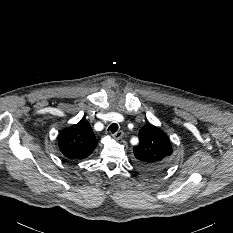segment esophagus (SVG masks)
Wrapping results in <instances>:
<instances>
[{
    "mask_svg": "<svg viewBox=\"0 0 233 233\" xmlns=\"http://www.w3.org/2000/svg\"><path fill=\"white\" fill-rule=\"evenodd\" d=\"M113 137L117 140H120L123 137V131L119 130L113 134Z\"/></svg>",
    "mask_w": 233,
    "mask_h": 233,
    "instance_id": "esophagus-1",
    "label": "esophagus"
}]
</instances>
